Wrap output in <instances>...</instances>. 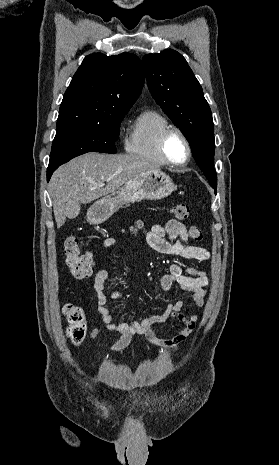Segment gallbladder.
<instances>
[{"mask_svg":"<svg viewBox=\"0 0 279 465\" xmlns=\"http://www.w3.org/2000/svg\"><path fill=\"white\" fill-rule=\"evenodd\" d=\"M65 210L67 217L69 219H74L79 214V204L75 201L69 202L65 205Z\"/></svg>","mask_w":279,"mask_h":465,"instance_id":"1","label":"gallbladder"}]
</instances>
